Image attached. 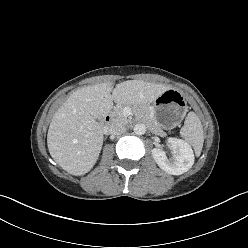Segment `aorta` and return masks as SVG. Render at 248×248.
Masks as SVG:
<instances>
[{
	"label": "aorta",
	"instance_id": "1",
	"mask_svg": "<svg viewBox=\"0 0 248 248\" xmlns=\"http://www.w3.org/2000/svg\"><path fill=\"white\" fill-rule=\"evenodd\" d=\"M133 130L136 135H143L146 133V125L143 123L136 124Z\"/></svg>",
	"mask_w": 248,
	"mask_h": 248
}]
</instances>
